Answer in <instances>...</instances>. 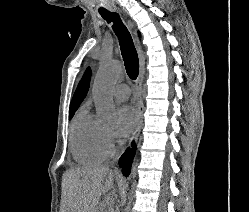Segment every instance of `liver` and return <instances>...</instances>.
Returning <instances> with one entry per match:
<instances>
[{"label": "liver", "instance_id": "6515ba94", "mask_svg": "<svg viewBox=\"0 0 249 212\" xmlns=\"http://www.w3.org/2000/svg\"><path fill=\"white\" fill-rule=\"evenodd\" d=\"M64 176L67 212H98L100 198L112 190L116 174L109 166H83L68 170Z\"/></svg>", "mask_w": 249, "mask_h": 212}]
</instances>
